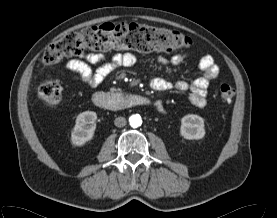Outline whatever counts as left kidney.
I'll list each match as a JSON object with an SVG mask.
<instances>
[{
    "label": "left kidney",
    "mask_w": 277,
    "mask_h": 218,
    "mask_svg": "<svg viewBox=\"0 0 277 218\" xmlns=\"http://www.w3.org/2000/svg\"><path fill=\"white\" fill-rule=\"evenodd\" d=\"M180 134L188 140L202 139L205 135L203 118L195 114L185 115L181 119Z\"/></svg>",
    "instance_id": "obj_1"
}]
</instances>
